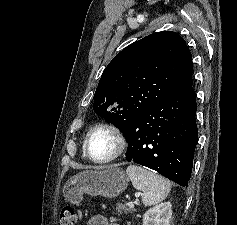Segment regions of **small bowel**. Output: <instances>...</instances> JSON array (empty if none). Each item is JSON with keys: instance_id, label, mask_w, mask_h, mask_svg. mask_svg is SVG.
<instances>
[{"instance_id": "c3829d8e", "label": "small bowel", "mask_w": 237, "mask_h": 225, "mask_svg": "<svg viewBox=\"0 0 237 225\" xmlns=\"http://www.w3.org/2000/svg\"><path fill=\"white\" fill-rule=\"evenodd\" d=\"M87 225H119V224L109 221L106 217L102 215H95L89 219Z\"/></svg>"}]
</instances>
